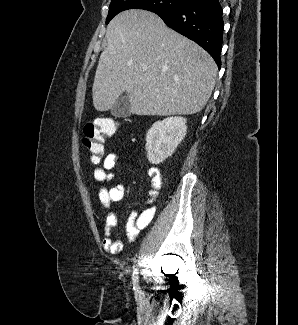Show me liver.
Instances as JSON below:
<instances>
[{
  "label": "liver",
  "mask_w": 298,
  "mask_h": 325,
  "mask_svg": "<svg viewBox=\"0 0 298 325\" xmlns=\"http://www.w3.org/2000/svg\"><path fill=\"white\" fill-rule=\"evenodd\" d=\"M106 38L92 86L96 110H109L123 92L133 114H195L204 108L216 62L158 14L123 10L110 20Z\"/></svg>",
  "instance_id": "1"
}]
</instances>
